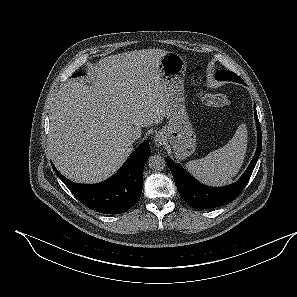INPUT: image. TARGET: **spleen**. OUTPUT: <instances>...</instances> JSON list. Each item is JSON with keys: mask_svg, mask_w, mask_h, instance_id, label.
Segmentation results:
<instances>
[{"mask_svg": "<svg viewBox=\"0 0 297 297\" xmlns=\"http://www.w3.org/2000/svg\"><path fill=\"white\" fill-rule=\"evenodd\" d=\"M247 141L246 124H241L225 146L202 159L189 161L185 165L186 169L204 184L211 186L229 184L244 162Z\"/></svg>", "mask_w": 297, "mask_h": 297, "instance_id": "3e777b00", "label": "spleen"}]
</instances>
